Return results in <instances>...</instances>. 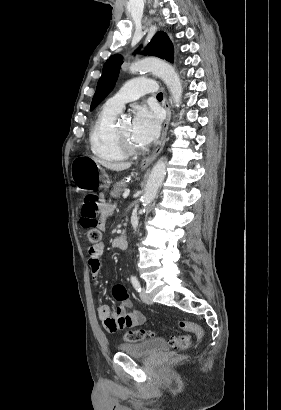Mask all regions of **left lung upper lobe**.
Here are the masks:
<instances>
[{"instance_id": "1", "label": "left lung upper lobe", "mask_w": 281, "mask_h": 410, "mask_svg": "<svg viewBox=\"0 0 281 410\" xmlns=\"http://www.w3.org/2000/svg\"><path fill=\"white\" fill-rule=\"evenodd\" d=\"M143 54L157 56L161 59L173 62L172 42L166 33L159 31L146 46ZM122 61V56L116 54L111 56L104 64L102 76L98 81L90 110H93L113 89Z\"/></svg>"}]
</instances>
